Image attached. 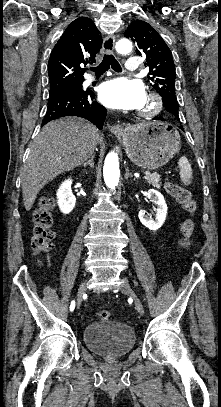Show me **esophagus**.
Segmentation results:
<instances>
[{"label": "esophagus", "instance_id": "esophagus-1", "mask_svg": "<svg viewBox=\"0 0 221 407\" xmlns=\"http://www.w3.org/2000/svg\"><path fill=\"white\" fill-rule=\"evenodd\" d=\"M114 43H115V36L114 35H108L104 41H103V45H102V49L106 54H111L114 51ZM108 127L111 129L112 133L117 136V137H121L123 135H125L128 130L129 127L127 126H123L120 124H115V125H109Z\"/></svg>", "mask_w": 221, "mask_h": 407}]
</instances>
